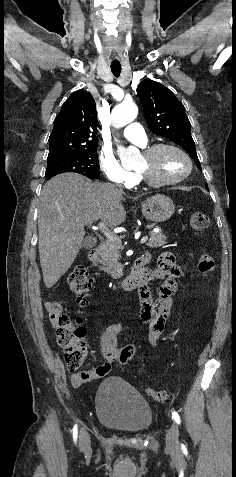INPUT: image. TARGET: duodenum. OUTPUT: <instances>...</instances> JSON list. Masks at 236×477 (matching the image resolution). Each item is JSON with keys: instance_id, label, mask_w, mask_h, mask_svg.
Instances as JSON below:
<instances>
[{"instance_id": "duodenum-1", "label": "duodenum", "mask_w": 236, "mask_h": 477, "mask_svg": "<svg viewBox=\"0 0 236 477\" xmlns=\"http://www.w3.org/2000/svg\"><path fill=\"white\" fill-rule=\"evenodd\" d=\"M99 256V249L97 247L91 248L88 253V257L91 261H97ZM149 262L147 257L137 258L134 263L130 274L119 282L120 287L125 292H131L138 290L141 286L147 284V278L145 276V266Z\"/></svg>"}]
</instances>
